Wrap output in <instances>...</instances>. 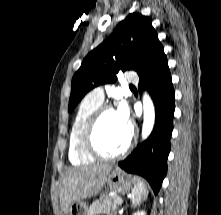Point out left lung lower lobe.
Listing matches in <instances>:
<instances>
[{
    "mask_svg": "<svg viewBox=\"0 0 221 215\" xmlns=\"http://www.w3.org/2000/svg\"><path fill=\"white\" fill-rule=\"evenodd\" d=\"M139 78V91L148 90L153 99L155 126L150 137L118 165L128 173L144 177L156 195L167 171L175 109V91L164 48L156 54L148 69L139 75Z\"/></svg>",
    "mask_w": 221,
    "mask_h": 215,
    "instance_id": "obj_1",
    "label": "left lung lower lobe"
}]
</instances>
